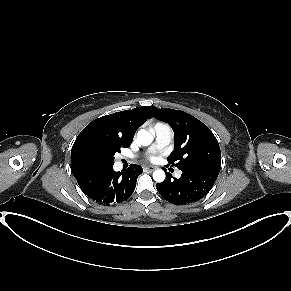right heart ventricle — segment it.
I'll use <instances>...</instances> for the list:
<instances>
[{
    "instance_id": "1",
    "label": "right heart ventricle",
    "mask_w": 291,
    "mask_h": 291,
    "mask_svg": "<svg viewBox=\"0 0 291 291\" xmlns=\"http://www.w3.org/2000/svg\"><path fill=\"white\" fill-rule=\"evenodd\" d=\"M159 124H162V123H157L155 126L159 125Z\"/></svg>"
}]
</instances>
